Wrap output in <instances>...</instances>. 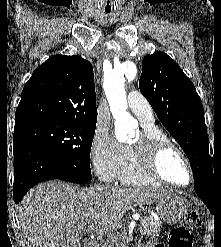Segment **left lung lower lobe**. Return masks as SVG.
Masks as SVG:
<instances>
[{
  "mask_svg": "<svg viewBox=\"0 0 221 247\" xmlns=\"http://www.w3.org/2000/svg\"><path fill=\"white\" fill-rule=\"evenodd\" d=\"M194 189L199 198L212 212L216 201L221 199V177L213 176L203 181L196 182Z\"/></svg>",
  "mask_w": 221,
  "mask_h": 247,
  "instance_id": "left-lung-lower-lobe-1",
  "label": "left lung lower lobe"
}]
</instances>
